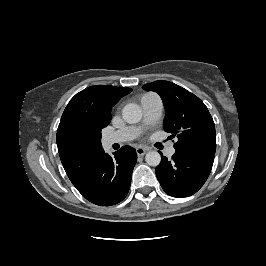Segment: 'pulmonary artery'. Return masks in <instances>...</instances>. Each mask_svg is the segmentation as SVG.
<instances>
[{
    "mask_svg": "<svg viewBox=\"0 0 266 266\" xmlns=\"http://www.w3.org/2000/svg\"><path fill=\"white\" fill-rule=\"evenodd\" d=\"M144 125H149L157 122L162 114L163 104L161 98L155 93L145 94L140 100ZM141 133V127L129 126L120 129L105 138L107 146L116 143H123L135 139ZM175 153L173 144L169 145L166 149V154L172 156Z\"/></svg>",
    "mask_w": 266,
    "mask_h": 266,
    "instance_id": "pulmonary-artery-1",
    "label": "pulmonary artery"
}]
</instances>
